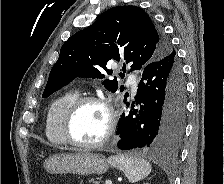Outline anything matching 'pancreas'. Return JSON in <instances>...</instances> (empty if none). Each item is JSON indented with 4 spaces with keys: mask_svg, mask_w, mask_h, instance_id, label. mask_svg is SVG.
Segmentation results:
<instances>
[{
    "mask_svg": "<svg viewBox=\"0 0 224 184\" xmlns=\"http://www.w3.org/2000/svg\"><path fill=\"white\" fill-rule=\"evenodd\" d=\"M93 184H99V182L98 181H93Z\"/></svg>",
    "mask_w": 224,
    "mask_h": 184,
    "instance_id": "pancreas-1",
    "label": "pancreas"
}]
</instances>
